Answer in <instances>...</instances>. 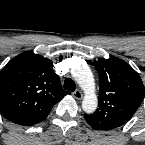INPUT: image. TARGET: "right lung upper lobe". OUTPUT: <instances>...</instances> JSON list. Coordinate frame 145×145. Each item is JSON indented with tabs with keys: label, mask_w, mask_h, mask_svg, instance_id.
Wrapping results in <instances>:
<instances>
[{
	"label": "right lung upper lobe",
	"mask_w": 145,
	"mask_h": 145,
	"mask_svg": "<svg viewBox=\"0 0 145 145\" xmlns=\"http://www.w3.org/2000/svg\"><path fill=\"white\" fill-rule=\"evenodd\" d=\"M52 61L32 52L11 59L0 72V112L11 122L31 126L45 119L68 92Z\"/></svg>",
	"instance_id": "1"
}]
</instances>
